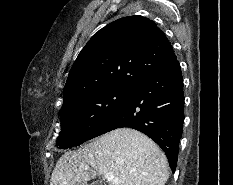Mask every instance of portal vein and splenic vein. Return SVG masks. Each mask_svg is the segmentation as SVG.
<instances>
[{"label": "portal vein and splenic vein", "mask_w": 233, "mask_h": 185, "mask_svg": "<svg viewBox=\"0 0 233 185\" xmlns=\"http://www.w3.org/2000/svg\"><path fill=\"white\" fill-rule=\"evenodd\" d=\"M80 167L83 168V169H86V170L89 169V166H87V165H81ZM104 177H105V179L107 181H114V182H116V180L114 179V175L111 174V173L105 174Z\"/></svg>", "instance_id": "obj_1"}]
</instances>
